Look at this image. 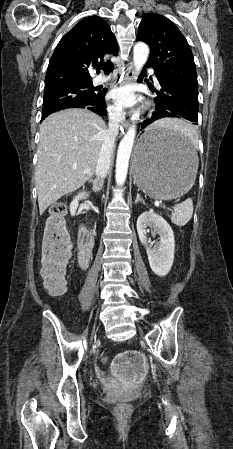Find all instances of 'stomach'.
Here are the masks:
<instances>
[{"instance_id":"0dacf381","label":"stomach","mask_w":233,"mask_h":449,"mask_svg":"<svg viewBox=\"0 0 233 449\" xmlns=\"http://www.w3.org/2000/svg\"><path fill=\"white\" fill-rule=\"evenodd\" d=\"M198 166L196 150L183 133L152 126L139 139L132 160L135 183L149 197L173 199L192 186Z\"/></svg>"}]
</instances>
